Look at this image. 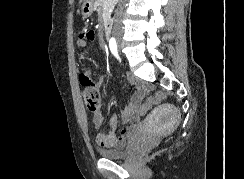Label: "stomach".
Instances as JSON below:
<instances>
[{"instance_id":"1","label":"stomach","mask_w":244,"mask_h":179,"mask_svg":"<svg viewBox=\"0 0 244 179\" xmlns=\"http://www.w3.org/2000/svg\"><path fill=\"white\" fill-rule=\"evenodd\" d=\"M81 10L82 16H84V18H89V16H91L92 12L95 10L94 0H85Z\"/></svg>"}]
</instances>
